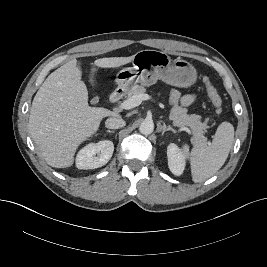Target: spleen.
<instances>
[{
    "label": "spleen",
    "mask_w": 267,
    "mask_h": 267,
    "mask_svg": "<svg viewBox=\"0 0 267 267\" xmlns=\"http://www.w3.org/2000/svg\"><path fill=\"white\" fill-rule=\"evenodd\" d=\"M234 141V127L222 122L214 135L212 143H197L189 152V146L183 145V151L190 159L192 180L203 182L213 176L225 163Z\"/></svg>",
    "instance_id": "1"
}]
</instances>
